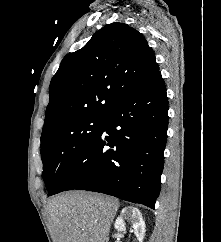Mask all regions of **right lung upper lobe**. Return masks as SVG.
I'll list each match as a JSON object with an SVG mask.
<instances>
[{
    "label": "right lung upper lobe",
    "instance_id": "cb5924a9",
    "mask_svg": "<svg viewBox=\"0 0 221 242\" xmlns=\"http://www.w3.org/2000/svg\"><path fill=\"white\" fill-rule=\"evenodd\" d=\"M157 72L154 52L139 31L106 25L63 58L50 83L42 135L84 116H103Z\"/></svg>",
    "mask_w": 221,
    "mask_h": 242
}]
</instances>
